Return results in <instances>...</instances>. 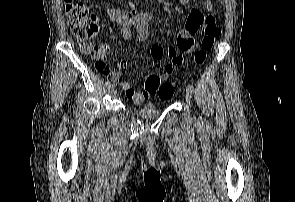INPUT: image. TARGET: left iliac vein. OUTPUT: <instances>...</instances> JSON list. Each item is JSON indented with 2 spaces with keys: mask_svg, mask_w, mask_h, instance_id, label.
Here are the masks:
<instances>
[{
  "mask_svg": "<svg viewBox=\"0 0 295 202\" xmlns=\"http://www.w3.org/2000/svg\"><path fill=\"white\" fill-rule=\"evenodd\" d=\"M192 93L189 90H186V100L188 103H192Z\"/></svg>",
  "mask_w": 295,
  "mask_h": 202,
  "instance_id": "obj_1",
  "label": "left iliac vein"
}]
</instances>
